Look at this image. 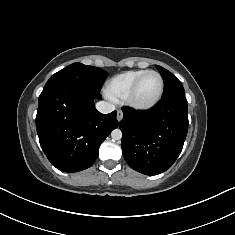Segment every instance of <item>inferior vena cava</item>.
<instances>
[{
    "instance_id": "1",
    "label": "inferior vena cava",
    "mask_w": 235,
    "mask_h": 235,
    "mask_svg": "<svg viewBox=\"0 0 235 235\" xmlns=\"http://www.w3.org/2000/svg\"><path fill=\"white\" fill-rule=\"evenodd\" d=\"M96 109L103 114H108L115 110V106L105 101H99L96 103Z\"/></svg>"
}]
</instances>
